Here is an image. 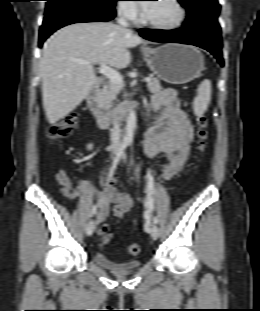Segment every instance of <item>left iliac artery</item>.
Instances as JSON below:
<instances>
[{"instance_id":"obj_1","label":"left iliac artery","mask_w":260,"mask_h":311,"mask_svg":"<svg viewBox=\"0 0 260 311\" xmlns=\"http://www.w3.org/2000/svg\"><path fill=\"white\" fill-rule=\"evenodd\" d=\"M148 179H149V188L152 189L153 178H152L151 175H149ZM146 205L149 207L150 210H153V200H152V198H148V200L146 201ZM153 222L155 224L158 223V218L156 216H153Z\"/></svg>"}]
</instances>
